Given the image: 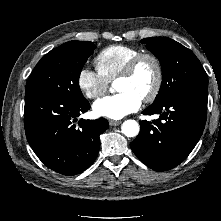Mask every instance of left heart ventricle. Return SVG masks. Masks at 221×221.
Segmentation results:
<instances>
[{"mask_svg":"<svg viewBox=\"0 0 221 221\" xmlns=\"http://www.w3.org/2000/svg\"><path fill=\"white\" fill-rule=\"evenodd\" d=\"M155 82V68L151 61L144 60L131 78H120L116 82L119 92L131 91L141 98L146 96Z\"/></svg>","mask_w":221,"mask_h":221,"instance_id":"1","label":"left heart ventricle"}]
</instances>
